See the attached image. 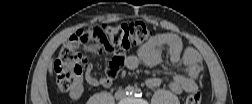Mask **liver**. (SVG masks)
I'll return each mask as SVG.
<instances>
[{
  "label": "liver",
  "mask_w": 252,
  "mask_h": 104,
  "mask_svg": "<svg viewBox=\"0 0 252 104\" xmlns=\"http://www.w3.org/2000/svg\"><path fill=\"white\" fill-rule=\"evenodd\" d=\"M49 73L52 75L53 74V66H52V61L49 65Z\"/></svg>",
  "instance_id": "obj_1"
}]
</instances>
